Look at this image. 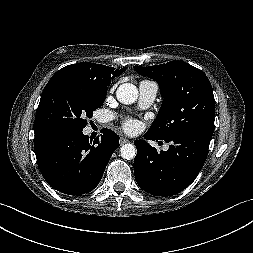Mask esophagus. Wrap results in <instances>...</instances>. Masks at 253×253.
Returning a JSON list of instances; mask_svg holds the SVG:
<instances>
[{"instance_id": "obj_1", "label": "esophagus", "mask_w": 253, "mask_h": 253, "mask_svg": "<svg viewBox=\"0 0 253 253\" xmlns=\"http://www.w3.org/2000/svg\"><path fill=\"white\" fill-rule=\"evenodd\" d=\"M128 142H129L128 139H126V138H124V137L120 138V144H121V145H123V144H125V143H128Z\"/></svg>"}]
</instances>
